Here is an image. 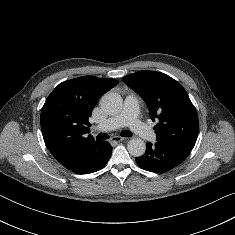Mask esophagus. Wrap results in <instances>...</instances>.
Segmentation results:
<instances>
[{
  "label": "esophagus",
  "mask_w": 235,
  "mask_h": 235,
  "mask_svg": "<svg viewBox=\"0 0 235 235\" xmlns=\"http://www.w3.org/2000/svg\"><path fill=\"white\" fill-rule=\"evenodd\" d=\"M125 138L121 137V136H113L110 138V142L111 143H118V142H121V141H124Z\"/></svg>",
  "instance_id": "esophagus-1"
}]
</instances>
